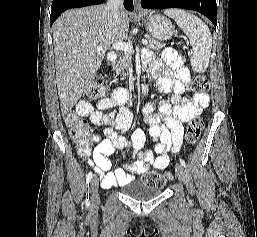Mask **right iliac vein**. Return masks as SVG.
<instances>
[{
  "mask_svg": "<svg viewBox=\"0 0 257 237\" xmlns=\"http://www.w3.org/2000/svg\"><path fill=\"white\" fill-rule=\"evenodd\" d=\"M98 188H99L98 178L94 177L90 183V198H91L92 206H96L100 201Z\"/></svg>",
  "mask_w": 257,
  "mask_h": 237,
  "instance_id": "right-iliac-vein-1",
  "label": "right iliac vein"
}]
</instances>
